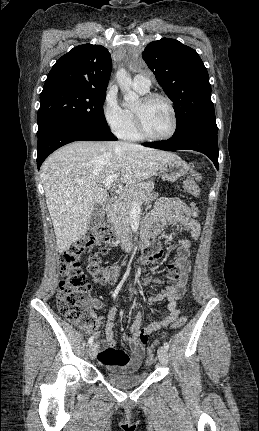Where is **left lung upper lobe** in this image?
<instances>
[{
  "instance_id": "1",
  "label": "left lung upper lobe",
  "mask_w": 259,
  "mask_h": 431,
  "mask_svg": "<svg viewBox=\"0 0 259 431\" xmlns=\"http://www.w3.org/2000/svg\"><path fill=\"white\" fill-rule=\"evenodd\" d=\"M142 57L174 103L175 133L192 126L217 128L209 75L195 50L162 38L148 44Z\"/></svg>"
}]
</instances>
